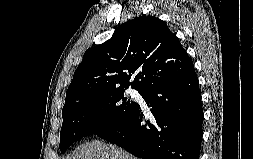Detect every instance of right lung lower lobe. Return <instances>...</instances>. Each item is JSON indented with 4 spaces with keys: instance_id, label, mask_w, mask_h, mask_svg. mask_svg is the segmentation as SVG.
I'll list each match as a JSON object with an SVG mask.
<instances>
[{
    "instance_id": "obj_1",
    "label": "right lung lower lobe",
    "mask_w": 253,
    "mask_h": 159,
    "mask_svg": "<svg viewBox=\"0 0 253 159\" xmlns=\"http://www.w3.org/2000/svg\"><path fill=\"white\" fill-rule=\"evenodd\" d=\"M140 94L150 120L143 122L138 106L123 123L97 135L142 159H199L203 110L194 68Z\"/></svg>"
}]
</instances>
